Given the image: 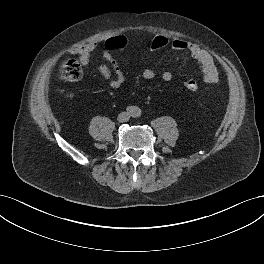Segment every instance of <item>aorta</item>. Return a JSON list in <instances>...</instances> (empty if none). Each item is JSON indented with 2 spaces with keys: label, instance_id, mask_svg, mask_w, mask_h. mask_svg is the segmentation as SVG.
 Instances as JSON below:
<instances>
[{
  "label": "aorta",
  "instance_id": "obj_1",
  "mask_svg": "<svg viewBox=\"0 0 264 264\" xmlns=\"http://www.w3.org/2000/svg\"><path fill=\"white\" fill-rule=\"evenodd\" d=\"M131 115H132L133 117H139V116L141 115V110H140V108H138V107H134V108H133V111H132V113H131Z\"/></svg>",
  "mask_w": 264,
  "mask_h": 264
}]
</instances>
